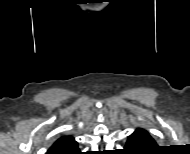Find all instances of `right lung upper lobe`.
<instances>
[{"mask_svg":"<svg viewBox=\"0 0 190 154\" xmlns=\"http://www.w3.org/2000/svg\"><path fill=\"white\" fill-rule=\"evenodd\" d=\"M78 150V144L72 136H62L49 148L47 154H65Z\"/></svg>","mask_w":190,"mask_h":154,"instance_id":"1","label":"right lung upper lobe"}]
</instances>
